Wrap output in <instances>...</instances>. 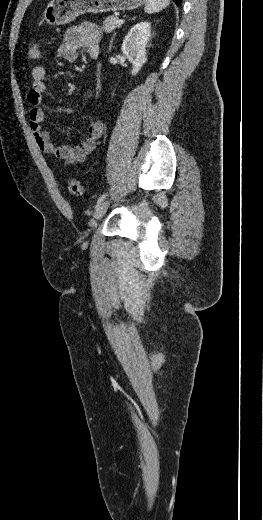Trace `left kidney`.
I'll use <instances>...</instances> for the list:
<instances>
[{"label":"left kidney","mask_w":263,"mask_h":520,"mask_svg":"<svg viewBox=\"0 0 263 520\" xmlns=\"http://www.w3.org/2000/svg\"><path fill=\"white\" fill-rule=\"evenodd\" d=\"M151 26L148 22H140L133 26L122 44V52L132 63V75H136L145 64L146 45L151 36Z\"/></svg>","instance_id":"1"}]
</instances>
